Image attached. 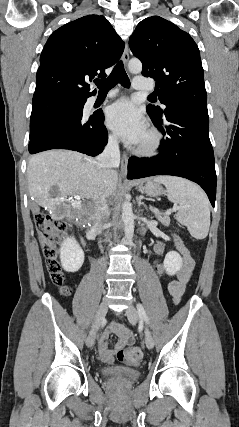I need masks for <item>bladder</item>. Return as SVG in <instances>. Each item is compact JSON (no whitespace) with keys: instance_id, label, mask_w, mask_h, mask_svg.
I'll return each instance as SVG.
<instances>
[{"instance_id":"obj_1","label":"bladder","mask_w":239,"mask_h":427,"mask_svg":"<svg viewBox=\"0 0 239 427\" xmlns=\"http://www.w3.org/2000/svg\"><path fill=\"white\" fill-rule=\"evenodd\" d=\"M102 374L106 378L118 381H134L140 376V373L136 370L122 368H104Z\"/></svg>"}]
</instances>
